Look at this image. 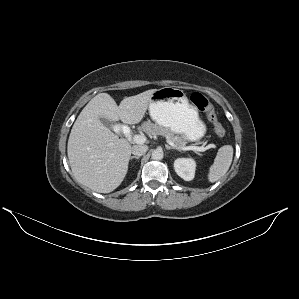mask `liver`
Returning <instances> with one entry per match:
<instances>
[{
	"label": "liver",
	"instance_id": "obj_1",
	"mask_svg": "<svg viewBox=\"0 0 299 299\" xmlns=\"http://www.w3.org/2000/svg\"><path fill=\"white\" fill-rule=\"evenodd\" d=\"M155 90L126 97L119 106L109 94L99 93L83 108L67 145L69 164L78 182L99 193L112 192L122 183L134 146L119 139L99 118L137 124Z\"/></svg>",
	"mask_w": 299,
	"mask_h": 299
}]
</instances>
